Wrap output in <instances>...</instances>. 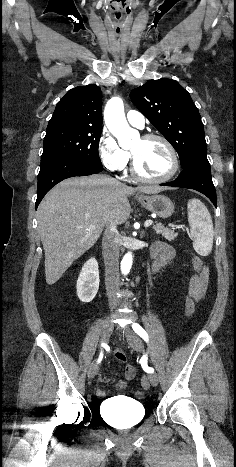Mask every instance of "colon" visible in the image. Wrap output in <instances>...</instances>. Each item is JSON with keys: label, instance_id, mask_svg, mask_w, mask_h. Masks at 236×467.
Here are the masks:
<instances>
[{"label": "colon", "instance_id": "colon-1", "mask_svg": "<svg viewBox=\"0 0 236 467\" xmlns=\"http://www.w3.org/2000/svg\"><path fill=\"white\" fill-rule=\"evenodd\" d=\"M193 266H194V270L197 273L200 272L202 270L203 266H204V263H203L202 259L197 255L193 256ZM186 313H187L188 316H192L193 313H194V302H193L192 298H190V297H188V299L186 300ZM116 358L118 360L123 361V360H125V355L123 353L119 352V353H117ZM142 385L144 387L148 386V383H147V381L145 379H143ZM137 396L139 398H142L143 397V392H141V391L137 392Z\"/></svg>", "mask_w": 236, "mask_h": 467}]
</instances>
